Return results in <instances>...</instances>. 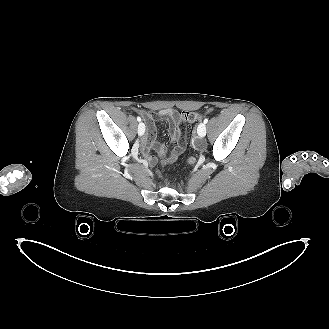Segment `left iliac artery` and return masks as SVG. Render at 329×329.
<instances>
[{"mask_svg": "<svg viewBox=\"0 0 329 329\" xmlns=\"http://www.w3.org/2000/svg\"><path fill=\"white\" fill-rule=\"evenodd\" d=\"M208 122V118H205L204 119V123L206 124Z\"/></svg>", "mask_w": 329, "mask_h": 329, "instance_id": "1", "label": "left iliac artery"}]
</instances>
